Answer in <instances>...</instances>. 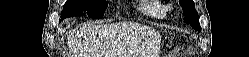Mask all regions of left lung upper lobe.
<instances>
[{"label": "left lung upper lobe", "instance_id": "left-lung-upper-lobe-1", "mask_svg": "<svg viewBox=\"0 0 249 57\" xmlns=\"http://www.w3.org/2000/svg\"><path fill=\"white\" fill-rule=\"evenodd\" d=\"M179 2L183 8V14L186 15L184 18L185 22L190 24L193 28L201 30L194 2L192 0H179Z\"/></svg>", "mask_w": 249, "mask_h": 57}]
</instances>
